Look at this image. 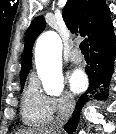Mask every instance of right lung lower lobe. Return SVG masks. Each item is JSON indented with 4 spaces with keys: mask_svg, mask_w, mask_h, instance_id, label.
Listing matches in <instances>:
<instances>
[{
    "mask_svg": "<svg viewBox=\"0 0 116 134\" xmlns=\"http://www.w3.org/2000/svg\"><path fill=\"white\" fill-rule=\"evenodd\" d=\"M116 39L113 29L101 39L90 45L91 47V67L86 69L89 78V88L78 100L75 110L70 120L65 124L64 129L68 134H72L76 130L79 122L80 112L86 101L87 93H93V89L98 87L100 83L108 84L112 72L114 60L116 57ZM107 91L99 93L96 98L107 97Z\"/></svg>",
    "mask_w": 116,
    "mask_h": 134,
    "instance_id": "right-lung-lower-lobe-1",
    "label": "right lung lower lobe"
}]
</instances>
